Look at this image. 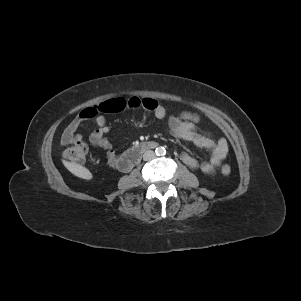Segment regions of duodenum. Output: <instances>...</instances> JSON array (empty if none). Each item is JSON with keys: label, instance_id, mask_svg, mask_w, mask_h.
<instances>
[{"label": "duodenum", "instance_id": "1", "mask_svg": "<svg viewBox=\"0 0 301 301\" xmlns=\"http://www.w3.org/2000/svg\"><path fill=\"white\" fill-rule=\"evenodd\" d=\"M157 147L156 142H142L136 146H133L126 153L123 154L121 160V168L123 171H128L136 165L141 159L142 155L153 148Z\"/></svg>", "mask_w": 301, "mask_h": 301}]
</instances>
